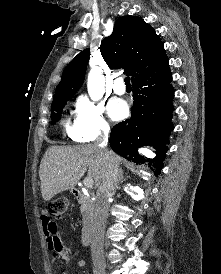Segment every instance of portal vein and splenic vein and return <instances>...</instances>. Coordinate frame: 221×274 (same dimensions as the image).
Masks as SVG:
<instances>
[{"label":"portal vein and splenic vein","instance_id":"obj_1","mask_svg":"<svg viewBox=\"0 0 221 274\" xmlns=\"http://www.w3.org/2000/svg\"><path fill=\"white\" fill-rule=\"evenodd\" d=\"M83 184H84L85 187L91 188L94 185V181H93L92 178L87 177V178L84 179Z\"/></svg>","mask_w":221,"mask_h":274}]
</instances>
